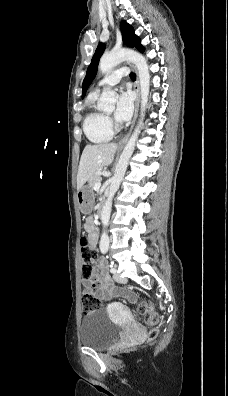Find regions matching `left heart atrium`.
<instances>
[{"label":"left heart atrium","mask_w":228,"mask_h":396,"mask_svg":"<svg viewBox=\"0 0 228 396\" xmlns=\"http://www.w3.org/2000/svg\"><path fill=\"white\" fill-rule=\"evenodd\" d=\"M134 97L130 91H121L115 111V119L119 123L127 122L133 114Z\"/></svg>","instance_id":"39dd6f15"}]
</instances>
